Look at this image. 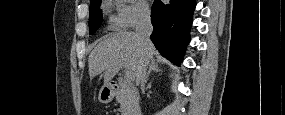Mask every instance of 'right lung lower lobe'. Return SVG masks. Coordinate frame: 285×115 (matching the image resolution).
Returning a JSON list of instances; mask_svg holds the SVG:
<instances>
[{
	"instance_id": "right-lung-lower-lobe-1",
	"label": "right lung lower lobe",
	"mask_w": 285,
	"mask_h": 115,
	"mask_svg": "<svg viewBox=\"0 0 285 115\" xmlns=\"http://www.w3.org/2000/svg\"><path fill=\"white\" fill-rule=\"evenodd\" d=\"M195 6V0H170L169 4L155 0L152 7L154 31L151 40L162 56L176 65L182 62L190 42L189 32Z\"/></svg>"
}]
</instances>
